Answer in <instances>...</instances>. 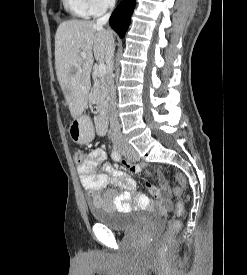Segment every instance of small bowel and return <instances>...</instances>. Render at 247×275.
<instances>
[{
  "instance_id": "1",
  "label": "small bowel",
  "mask_w": 247,
  "mask_h": 275,
  "mask_svg": "<svg viewBox=\"0 0 247 275\" xmlns=\"http://www.w3.org/2000/svg\"><path fill=\"white\" fill-rule=\"evenodd\" d=\"M101 164V170L96 171ZM145 169L144 165H133L130 168L134 173H141ZM77 172L92 204L98 208L127 212L133 209L131 200L142 208L151 205L147 196L136 192L135 181L126 171L106 162V152L102 148L92 149L78 165ZM158 179L159 186L148 184V191L158 199L160 208L167 210L172 206L169 186L162 174L158 173Z\"/></svg>"
}]
</instances>
